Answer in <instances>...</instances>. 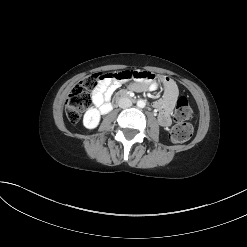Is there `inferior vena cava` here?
I'll list each match as a JSON object with an SVG mask.
<instances>
[{"instance_id": "602c4592", "label": "inferior vena cava", "mask_w": 247, "mask_h": 247, "mask_svg": "<svg viewBox=\"0 0 247 247\" xmlns=\"http://www.w3.org/2000/svg\"><path fill=\"white\" fill-rule=\"evenodd\" d=\"M118 105L120 108H128L132 106V101L128 97H121L118 101Z\"/></svg>"}]
</instances>
